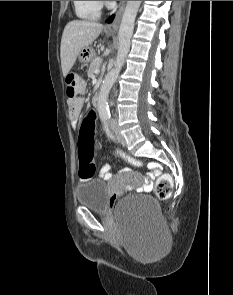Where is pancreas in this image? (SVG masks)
<instances>
[{"label": "pancreas", "mask_w": 233, "mask_h": 295, "mask_svg": "<svg viewBox=\"0 0 233 295\" xmlns=\"http://www.w3.org/2000/svg\"><path fill=\"white\" fill-rule=\"evenodd\" d=\"M100 59L99 58H94L89 66V70H88V76L90 78H94L95 77V70L99 68L100 66Z\"/></svg>", "instance_id": "pancreas-1"}]
</instances>
